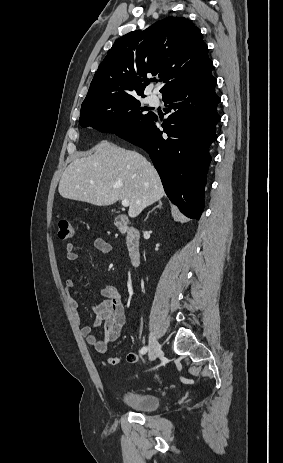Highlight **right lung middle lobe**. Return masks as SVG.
<instances>
[{
	"instance_id": "dd1d6c3e",
	"label": "right lung middle lobe",
	"mask_w": 283,
	"mask_h": 463,
	"mask_svg": "<svg viewBox=\"0 0 283 463\" xmlns=\"http://www.w3.org/2000/svg\"><path fill=\"white\" fill-rule=\"evenodd\" d=\"M144 111L137 96H111L82 105L79 123L121 136L136 131L153 115Z\"/></svg>"
}]
</instances>
